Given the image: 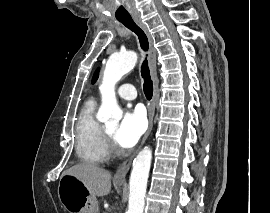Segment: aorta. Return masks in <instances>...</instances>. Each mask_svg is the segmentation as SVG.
<instances>
[{"label":"aorta","instance_id":"obj_1","mask_svg":"<svg viewBox=\"0 0 270 213\" xmlns=\"http://www.w3.org/2000/svg\"><path fill=\"white\" fill-rule=\"evenodd\" d=\"M137 58L135 52L125 51L113 53L107 60L100 88L102 104L97 115L99 121L117 123L122 118V111L117 104L114 87L125 74L134 68ZM151 160L152 150L145 147L133 161L127 213H143Z\"/></svg>","mask_w":270,"mask_h":213}]
</instances>
